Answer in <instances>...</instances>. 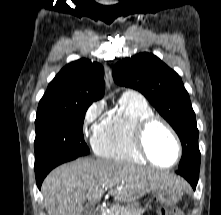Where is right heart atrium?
<instances>
[{"mask_svg":"<svg viewBox=\"0 0 221 215\" xmlns=\"http://www.w3.org/2000/svg\"><path fill=\"white\" fill-rule=\"evenodd\" d=\"M103 111V104L101 102H95L89 106L84 115L83 128L85 132L90 130L96 131L98 128L97 123L101 117Z\"/></svg>","mask_w":221,"mask_h":215,"instance_id":"d8ad5b80","label":"right heart atrium"}]
</instances>
